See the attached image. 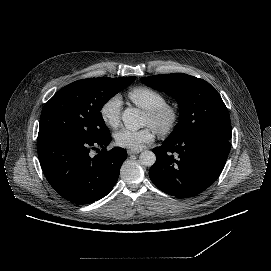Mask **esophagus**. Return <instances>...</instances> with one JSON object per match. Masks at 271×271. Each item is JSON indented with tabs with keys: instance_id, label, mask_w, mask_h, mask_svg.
Instances as JSON below:
<instances>
[{
	"instance_id": "1",
	"label": "esophagus",
	"mask_w": 271,
	"mask_h": 271,
	"mask_svg": "<svg viewBox=\"0 0 271 271\" xmlns=\"http://www.w3.org/2000/svg\"><path fill=\"white\" fill-rule=\"evenodd\" d=\"M127 152L129 155L139 154L141 152V149H128Z\"/></svg>"
}]
</instances>
